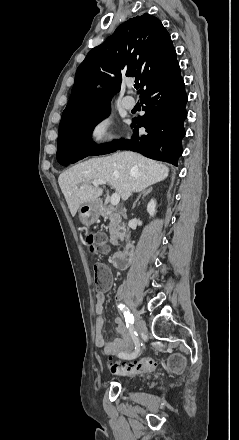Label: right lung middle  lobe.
<instances>
[{
    "label": "right lung middle lobe",
    "mask_w": 239,
    "mask_h": 440,
    "mask_svg": "<svg viewBox=\"0 0 239 440\" xmlns=\"http://www.w3.org/2000/svg\"><path fill=\"white\" fill-rule=\"evenodd\" d=\"M110 113V105L64 121L59 125L58 150L79 144L93 145L91 140L94 127ZM57 150V151H58Z\"/></svg>",
    "instance_id": "1"
}]
</instances>
